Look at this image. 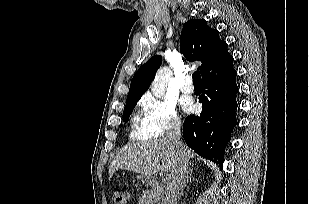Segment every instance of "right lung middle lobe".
Returning a JSON list of instances; mask_svg holds the SVG:
<instances>
[{"instance_id":"right-lung-middle-lobe-1","label":"right lung middle lobe","mask_w":309,"mask_h":204,"mask_svg":"<svg viewBox=\"0 0 309 204\" xmlns=\"http://www.w3.org/2000/svg\"><path fill=\"white\" fill-rule=\"evenodd\" d=\"M138 100L139 99H130L126 101V105L123 111V121L127 122L129 120V116Z\"/></svg>"}]
</instances>
